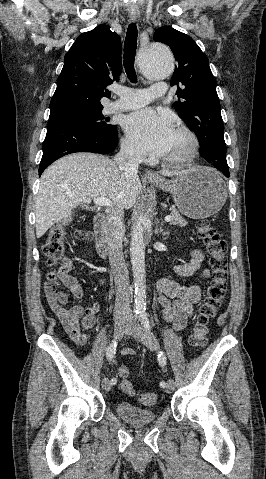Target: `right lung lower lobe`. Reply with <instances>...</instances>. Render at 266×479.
<instances>
[{
    "label": "right lung lower lobe",
    "instance_id": "98d812e1",
    "mask_svg": "<svg viewBox=\"0 0 266 479\" xmlns=\"http://www.w3.org/2000/svg\"><path fill=\"white\" fill-rule=\"evenodd\" d=\"M118 141L115 129L100 130L78 123L50 120L43 143V156L39 166V176L55 160L75 152L108 154Z\"/></svg>",
    "mask_w": 266,
    "mask_h": 479
}]
</instances>
